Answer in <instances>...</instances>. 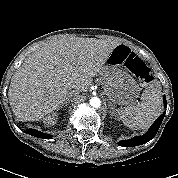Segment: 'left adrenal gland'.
<instances>
[{"label":"left adrenal gland","mask_w":178,"mask_h":178,"mask_svg":"<svg viewBox=\"0 0 178 178\" xmlns=\"http://www.w3.org/2000/svg\"><path fill=\"white\" fill-rule=\"evenodd\" d=\"M109 107H110V114H111V116H114V109H115V107L111 104V103H109Z\"/></svg>","instance_id":"left-adrenal-gland-1"}]
</instances>
